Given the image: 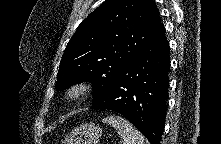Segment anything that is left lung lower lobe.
Instances as JSON below:
<instances>
[{
	"label": "left lung lower lobe",
	"instance_id": "left-lung-lower-lobe-1",
	"mask_svg": "<svg viewBox=\"0 0 221 144\" xmlns=\"http://www.w3.org/2000/svg\"><path fill=\"white\" fill-rule=\"evenodd\" d=\"M169 67V44L161 25L91 109L122 114L151 144H160L165 126Z\"/></svg>",
	"mask_w": 221,
	"mask_h": 144
}]
</instances>
